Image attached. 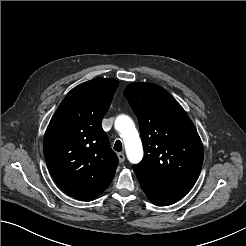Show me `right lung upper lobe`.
<instances>
[{
  "mask_svg": "<svg viewBox=\"0 0 246 246\" xmlns=\"http://www.w3.org/2000/svg\"><path fill=\"white\" fill-rule=\"evenodd\" d=\"M119 82L95 78L72 89L52 117L44 156L59 186L76 198L97 197L111 183L118 158L101 121Z\"/></svg>",
  "mask_w": 246,
  "mask_h": 246,
  "instance_id": "obj_1",
  "label": "right lung upper lobe"
}]
</instances>
